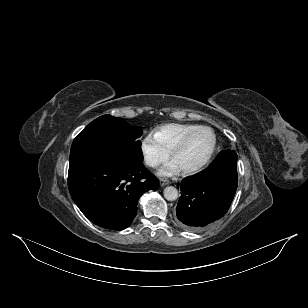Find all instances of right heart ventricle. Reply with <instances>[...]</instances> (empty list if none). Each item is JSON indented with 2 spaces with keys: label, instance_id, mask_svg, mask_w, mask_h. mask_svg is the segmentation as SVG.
Listing matches in <instances>:
<instances>
[{
  "label": "right heart ventricle",
  "instance_id": "obj_1",
  "mask_svg": "<svg viewBox=\"0 0 308 308\" xmlns=\"http://www.w3.org/2000/svg\"><path fill=\"white\" fill-rule=\"evenodd\" d=\"M200 127L197 124L169 123L154 130L153 136L157 142L169 153L174 146L190 131Z\"/></svg>",
  "mask_w": 308,
  "mask_h": 308
}]
</instances>
